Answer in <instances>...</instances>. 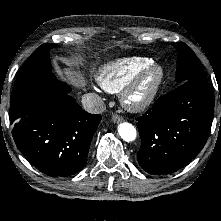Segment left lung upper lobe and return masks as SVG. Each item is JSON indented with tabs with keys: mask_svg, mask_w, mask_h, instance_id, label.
<instances>
[{
	"mask_svg": "<svg viewBox=\"0 0 221 221\" xmlns=\"http://www.w3.org/2000/svg\"><path fill=\"white\" fill-rule=\"evenodd\" d=\"M178 52L176 81L182 84L188 80H207L201 62L194 52L184 43H174Z\"/></svg>",
	"mask_w": 221,
	"mask_h": 221,
	"instance_id": "obj_1",
	"label": "left lung upper lobe"
}]
</instances>
